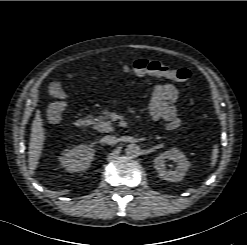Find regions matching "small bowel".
Listing matches in <instances>:
<instances>
[{"label":"small bowel","mask_w":247,"mask_h":245,"mask_svg":"<svg viewBox=\"0 0 247 245\" xmlns=\"http://www.w3.org/2000/svg\"><path fill=\"white\" fill-rule=\"evenodd\" d=\"M178 97L179 91L173 84L156 85L147 108L148 114L153 120L162 119L166 122L178 117L175 106Z\"/></svg>","instance_id":"obj_1"}]
</instances>
